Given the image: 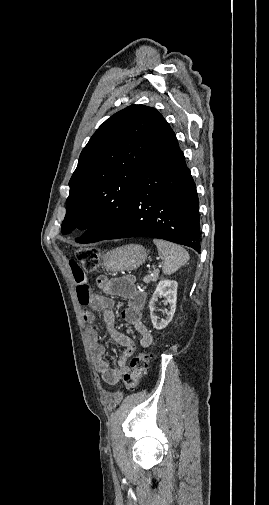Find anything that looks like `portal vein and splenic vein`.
Listing matches in <instances>:
<instances>
[{"instance_id": "portal-vein-and-splenic-vein-1", "label": "portal vein and splenic vein", "mask_w": 269, "mask_h": 505, "mask_svg": "<svg viewBox=\"0 0 269 505\" xmlns=\"http://www.w3.org/2000/svg\"><path fill=\"white\" fill-rule=\"evenodd\" d=\"M158 267H162V265H161V264H158ZM153 268L155 269V268H156V266H153Z\"/></svg>"}]
</instances>
